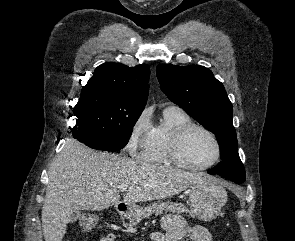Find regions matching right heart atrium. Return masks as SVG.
<instances>
[{"label":"right heart atrium","instance_id":"1","mask_svg":"<svg viewBox=\"0 0 295 241\" xmlns=\"http://www.w3.org/2000/svg\"><path fill=\"white\" fill-rule=\"evenodd\" d=\"M152 129L149 109L142 110L132 121L126 149L130 154L142 151L147 144Z\"/></svg>","mask_w":295,"mask_h":241}]
</instances>
